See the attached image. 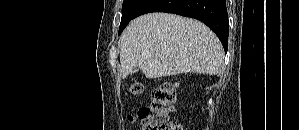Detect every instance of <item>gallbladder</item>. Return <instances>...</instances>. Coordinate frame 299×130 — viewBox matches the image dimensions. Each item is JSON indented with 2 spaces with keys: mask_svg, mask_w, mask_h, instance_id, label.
Returning <instances> with one entry per match:
<instances>
[{
  "mask_svg": "<svg viewBox=\"0 0 299 130\" xmlns=\"http://www.w3.org/2000/svg\"><path fill=\"white\" fill-rule=\"evenodd\" d=\"M137 72H138L137 68H134V69L130 72V74L133 75V74H136Z\"/></svg>",
  "mask_w": 299,
  "mask_h": 130,
  "instance_id": "gallbladder-1",
  "label": "gallbladder"
}]
</instances>
